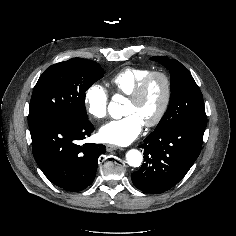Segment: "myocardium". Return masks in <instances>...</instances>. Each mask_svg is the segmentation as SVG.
I'll return each mask as SVG.
<instances>
[{
    "label": "myocardium",
    "mask_w": 236,
    "mask_h": 236,
    "mask_svg": "<svg viewBox=\"0 0 236 236\" xmlns=\"http://www.w3.org/2000/svg\"><path fill=\"white\" fill-rule=\"evenodd\" d=\"M156 77L160 78L163 81L164 97H163L161 107H160L158 113L156 114V116L153 119L144 122V124L147 127H153V126L158 125L162 121V119L164 118V116L169 108L171 96H172V83H171V79H170L169 75L163 71H151L149 74H147L142 79V81L139 83V85L129 95L130 100L138 101L144 95V93H145L148 85L152 81V79H154Z\"/></svg>",
    "instance_id": "obj_1"
}]
</instances>
